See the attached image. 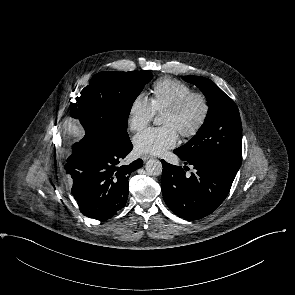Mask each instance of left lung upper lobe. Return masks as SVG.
I'll list each match as a JSON object with an SVG mask.
<instances>
[{
	"instance_id": "left-lung-upper-lobe-1",
	"label": "left lung upper lobe",
	"mask_w": 295,
	"mask_h": 295,
	"mask_svg": "<svg viewBox=\"0 0 295 295\" xmlns=\"http://www.w3.org/2000/svg\"><path fill=\"white\" fill-rule=\"evenodd\" d=\"M208 101L206 119L197 134L175 149L186 159H209L237 173L242 160V124L238 109L213 81L201 76H185Z\"/></svg>"
}]
</instances>
